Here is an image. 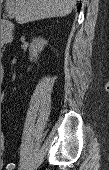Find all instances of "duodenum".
<instances>
[{"mask_svg": "<svg viewBox=\"0 0 109 170\" xmlns=\"http://www.w3.org/2000/svg\"><path fill=\"white\" fill-rule=\"evenodd\" d=\"M9 23L8 22H6L5 24H4V27H3V30L5 31V32H7L8 30H9Z\"/></svg>", "mask_w": 109, "mask_h": 170, "instance_id": "1", "label": "duodenum"}]
</instances>
